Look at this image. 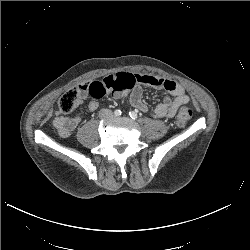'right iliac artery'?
I'll use <instances>...</instances> for the list:
<instances>
[{
	"instance_id": "obj_1",
	"label": "right iliac artery",
	"mask_w": 250,
	"mask_h": 250,
	"mask_svg": "<svg viewBox=\"0 0 250 250\" xmlns=\"http://www.w3.org/2000/svg\"><path fill=\"white\" fill-rule=\"evenodd\" d=\"M121 110L117 109L114 111L115 116H120L121 115Z\"/></svg>"
}]
</instances>
